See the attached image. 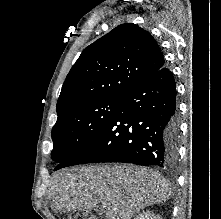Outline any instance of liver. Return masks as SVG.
<instances>
[{"label":"liver","mask_w":221,"mask_h":219,"mask_svg":"<svg viewBox=\"0 0 221 219\" xmlns=\"http://www.w3.org/2000/svg\"><path fill=\"white\" fill-rule=\"evenodd\" d=\"M169 193L158 172L120 164L62 170L53 177L50 195L59 211H90L101 203L106 219H131L145 207L168 200Z\"/></svg>","instance_id":"1"}]
</instances>
